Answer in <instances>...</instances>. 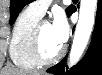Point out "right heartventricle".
<instances>
[{"mask_svg":"<svg viewBox=\"0 0 102 75\" xmlns=\"http://www.w3.org/2000/svg\"><path fill=\"white\" fill-rule=\"evenodd\" d=\"M41 16L34 13L30 8L21 11L16 19L10 39V57L14 64L21 68L32 69L37 63L33 60L30 52V39L36 24Z\"/></svg>","mask_w":102,"mask_h":75,"instance_id":"obj_1","label":"right heart ventricle"}]
</instances>
